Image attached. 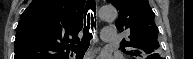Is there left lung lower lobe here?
I'll use <instances>...</instances> for the list:
<instances>
[{"instance_id":"0a47b994","label":"left lung lower lobe","mask_w":193,"mask_h":59,"mask_svg":"<svg viewBox=\"0 0 193 59\" xmlns=\"http://www.w3.org/2000/svg\"><path fill=\"white\" fill-rule=\"evenodd\" d=\"M154 55H155L156 57H154ZM154 55H150L147 59H161V58L159 57V55H157V54H154Z\"/></svg>"}]
</instances>
